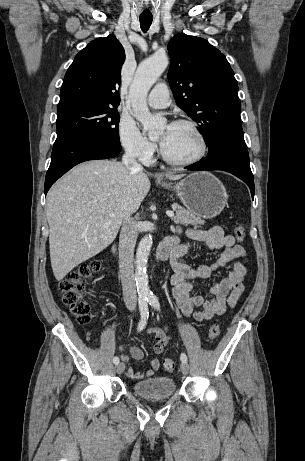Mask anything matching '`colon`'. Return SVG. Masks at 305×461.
Here are the masks:
<instances>
[{
	"mask_svg": "<svg viewBox=\"0 0 305 461\" xmlns=\"http://www.w3.org/2000/svg\"><path fill=\"white\" fill-rule=\"evenodd\" d=\"M234 234L236 239L242 242L246 236L244 227L236 224ZM100 268L101 263L98 260L91 261L80 266L60 283L62 302L69 308L80 324H86L91 320V307L86 300V285L99 272ZM219 335V325L216 323L212 324L208 330L209 338L216 339ZM163 366L167 372H172L175 369V362L172 359H165Z\"/></svg>",
	"mask_w": 305,
	"mask_h": 461,
	"instance_id": "5ec220e1",
	"label": "colon"
}]
</instances>
